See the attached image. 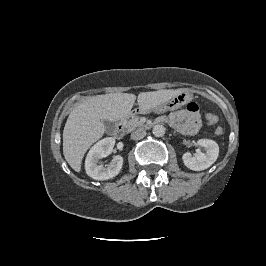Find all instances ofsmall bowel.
I'll list each match as a JSON object with an SVG mask.
<instances>
[{"mask_svg":"<svg viewBox=\"0 0 266 266\" xmlns=\"http://www.w3.org/2000/svg\"><path fill=\"white\" fill-rule=\"evenodd\" d=\"M161 122H168L178 132L185 135L196 134L201 126L199 109L196 103H189L184 109L171 112L168 116L160 117Z\"/></svg>","mask_w":266,"mask_h":266,"instance_id":"small-bowel-1","label":"small bowel"}]
</instances>
